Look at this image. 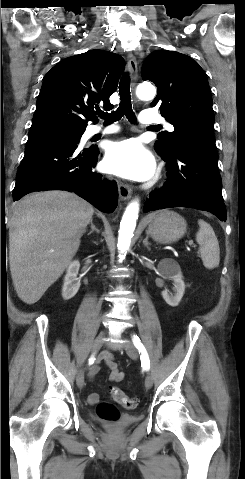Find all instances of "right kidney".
Masks as SVG:
<instances>
[{"label": "right kidney", "instance_id": "1", "mask_svg": "<svg viewBox=\"0 0 245 479\" xmlns=\"http://www.w3.org/2000/svg\"><path fill=\"white\" fill-rule=\"evenodd\" d=\"M80 263L78 260L71 262L67 268L62 287V297L64 300L73 298L80 288V280L77 278Z\"/></svg>", "mask_w": 245, "mask_h": 479}]
</instances>
